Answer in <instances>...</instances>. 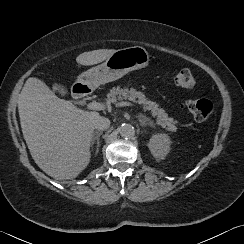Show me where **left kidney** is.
I'll list each match as a JSON object with an SVG mask.
<instances>
[{
    "mask_svg": "<svg viewBox=\"0 0 244 244\" xmlns=\"http://www.w3.org/2000/svg\"><path fill=\"white\" fill-rule=\"evenodd\" d=\"M171 139L168 134H154L148 143L151 154L157 159H164L171 149Z\"/></svg>",
    "mask_w": 244,
    "mask_h": 244,
    "instance_id": "5707ae66",
    "label": "left kidney"
}]
</instances>
